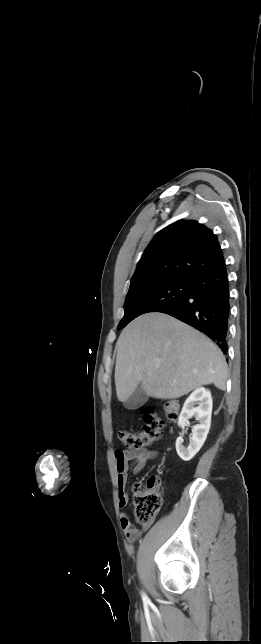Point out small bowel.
<instances>
[{
  "instance_id": "small-bowel-1",
  "label": "small bowel",
  "mask_w": 261,
  "mask_h": 644,
  "mask_svg": "<svg viewBox=\"0 0 261 644\" xmlns=\"http://www.w3.org/2000/svg\"><path fill=\"white\" fill-rule=\"evenodd\" d=\"M156 456L157 452L149 449H124L115 452L119 507L124 508L129 502L126 492L129 472L140 473L147 462L155 459ZM150 524V522L143 524V530H147ZM120 525L129 542H135L142 534V531L133 526L125 513L121 515Z\"/></svg>"
}]
</instances>
